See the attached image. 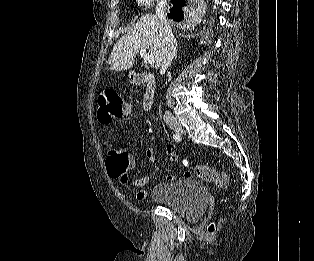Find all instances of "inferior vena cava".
Wrapping results in <instances>:
<instances>
[{"label":"inferior vena cava","mask_w":314,"mask_h":261,"mask_svg":"<svg viewBox=\"0 0 314 261\" xmlns=\"http://www.w3.org/2000/svg\"><path fill=\"white\" fill-rule=\"evenodd\" d=\"M167 9V1L166 0H159L156 6V15L158 16L161 26H162V33L164 37V45H163V52H162V61L161 67L167 68L170 63L172 62L177 48V41L174 38L172 33V29L170 25L167 23L165 12ZM172 116L169 111L165 112V118L170 119Z\"/></svg>","instance_id":"602c4592"}]
</instances>
